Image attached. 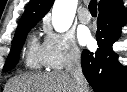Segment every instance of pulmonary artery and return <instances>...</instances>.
I'll return each instance as SVG.
<instances>
[{"label":"pulmonary artery","instance_id":"e3ab8cb5","mask_svg":"<svg viewBox=\"0 0 127 92\" xmlns=\"http://www.w3.org/2000/svg\"><path fill=\"white\" fill-rule=\"evenodd\" d=\"M78 19L81 23L88 24L90 22V19H91V16H90L88 9L82 8L78 12Z\"/></svg>","mask_w":127,"mask_h":92}]
</instances>
